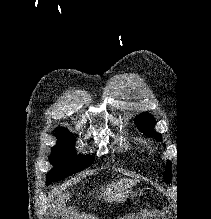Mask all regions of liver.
Wrapping results in <instances>:
<instances>
[{
	"mask_svg": "<svg viewBox=\"0 0 211 219\" xmlns=\"http://www.w3.org/2000/svg\"><path fill=\"white\" fill-rule=\"evenodd\" d=\"M134 184V181L130 179H120L117 182H113L106 190L103 197L106 201L111 202V201H123L125 197L128 194L127 192H121L129 188L131 185ZM61 200L55 201V203L58 204V206H61L63 203H65V200L67 201L70 198V194H61L60 195ZM60 203V204H59Z\"/></svg>",
	"mask_w": 211,
	"mask_h": 219,
	"instance_id": "6515ba94",
	"label": "liver"
}]
</instances>
